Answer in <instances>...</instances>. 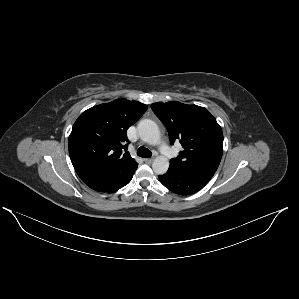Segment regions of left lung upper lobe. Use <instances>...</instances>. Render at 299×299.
<instances>
[{
	"label": "left lung upper lobe",
	"mask_w": 299,
	"mask_h": 299,
	"mask_svg": "<svg viewBox=\"0 0 299 299\" xmlns=\"http://www.w3.org/2000/svg\"><path fill=\"white\" fill-rule=\"evenodd\" d=\"M151 108L166 126L171 143L179 140L184 148L170 160L169 170L215 173L223 153V133L211 113L177 101L154 103Z\"/></svg>",
	"instance_id": "left-lung-upper-lobe-1"
}]
</instances>
